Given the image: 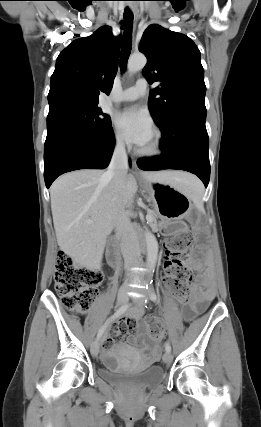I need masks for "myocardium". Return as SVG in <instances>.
Instances as JSON below:
<instances>
[{"instance_id":"1","label":"myocardium","mask_w":261,"mask_h":427,"mask_svg":"<svg viewBox=\"0 0 261 427\" xmlns=\"http://www.w3.org/2000/svg\"><path fill=\"white\" fill-rule=\"evenodd\" d=\"M163 139L162 134L158 129H154L152 133V143L147 148H139L138 154L143 157H155L162 153Z\"/></svg>"}]
</instances>
